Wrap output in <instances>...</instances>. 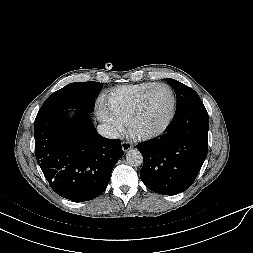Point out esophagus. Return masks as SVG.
Masks as SVG:
<instances>
[{"instance_id": "esophagus-1", "label": "esophagus", "mask_w": 253, "mask_h": 253, "mask_svg": "<svg viewBox=\"0 0 253 253\" xmlns=\"http://www.w3.org/2000/svg\"><path fill=\"white\" fill-rule=\"evenodd\" d=\"M132 148L131 143L129 142H122V150L124 152H127L128 150H130Z\"/></svg>"}]
</instances>
